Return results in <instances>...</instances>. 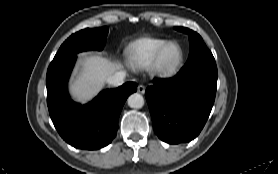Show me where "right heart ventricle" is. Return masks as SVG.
Listing matches in <instances>:
<instances>
[{
	"label": "right heart ventricle",
	"instance_id": "1",
	"mask_svg": "<svg viewBox=\"0 0 278 174\" xmlns=\"http://www.w3.org/2000/svg\"><path fill=\"white\" fill-rule=\"evenodd\" d=\"M166 42V39L157 37H143L132 42L128 54L133 66L138 69L148 68L157 50Z\"/></svg>",
	"mask_w": 278,
	"mask_h": 174
}]
</instances>
